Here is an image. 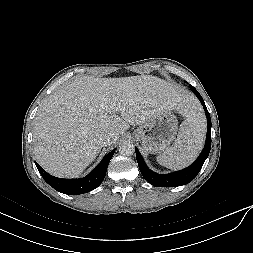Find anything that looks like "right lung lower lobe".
Masks as SVG:
<instances>
[{
	"label": "right lung lower lobe",
	"mask_w": 253,
	"mask_h": 253,
	"mask_svg": "<svg viewBox=\"0 0 253 253\" xmlns=\"http://www.w3.org/2000/svg\"><path fill=\"white\" fill-rule=\"evenodd\" d=\"M113 155L114 150L108 153L88 176L81 179L57 178L44 171L36 162L35 164L43 179L55 190L64 194L78 195L90 192L101 184Z\"/></svg>",
	"instance_id": "obj_1"
}]
</instances>
